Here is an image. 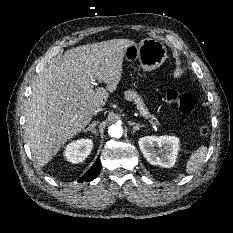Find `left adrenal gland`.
I'll return each instance as SVG.
<instances>
[{"mask_svg": "<svg viewBox=\"0 0 233 233\" xmlns=\"http://www.w3.org/2000/svg\"><path fill=\"white\" fill-rule=\"evenodd\" d=\"M129 124L131 126H133L132 133H135L137 130H139L141 127H143V125H139L138 123H135V122H129Z\"/></svg>", "mask_w": 233, "mask_h": 233, "instance_id": "left-adrenal-gland-1", "label": "left adrenal gland"}]
</instances>
